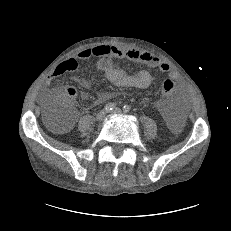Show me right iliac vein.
I'll use <instances>...</instances> for the list:
<instances>
[{
    "mask_svg": "<svg viewBox=\"0 0 231 231\" xmlns=\"http://www.w3.org/2000/svg\"><path fill=\"white\" fill-rule=\"evenodd\" d=\"M106 115L105 111H100L97 115H96V120L97 121H101Z\"/></svg>",
    "mask_w": 231,
    "mask_h": 231,
    "instance_id": "obj_1",
    "label": "right iliac vein"
}]
</instances>
